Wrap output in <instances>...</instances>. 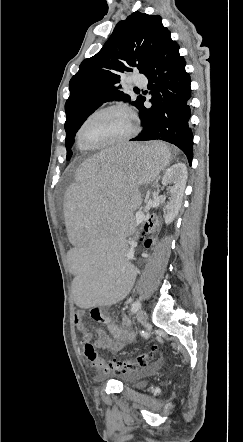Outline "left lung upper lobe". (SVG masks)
<instances>
[{
	"label": "left lung upper lobe",
	"mask_w": 243,
	"mask_h": 442,
	"mask_svg": "<svg viewBox=\"0 0 243 442\" xmlns=\"http://www.w3.org/2000/svg\"><path fill=\"white\" fill-rule=\"evenodd\" d=\"M170 32L159 15L136 11L120 21L102 49L85 59L69 83L70 96L65 104L67 159L72 156L74 136L87 117L103 102L129 101L119 85L123 74L135 69L145 73ZM144 97L130 102L140 108Z\"/></svg>",
	"instance_id": "1"
}]
</instances>
